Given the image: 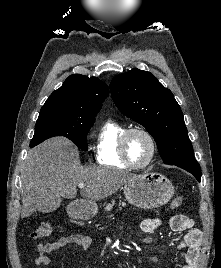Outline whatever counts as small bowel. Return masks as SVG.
<instances>
[{"instance_id": "1", "label": "small bowel", "mask_w": 221, "mask_h": 268, "mask_svg": "<svg viewBox=\"0 0 221 268\" xmlns=\"http://www.w3.org/2000/svg\"><path fill=\"white\" fill-rule=\"evenodd\" d=\"M161 225L157 218L145 219L141 223V229L145 233H151ZM170 227L173 231H187L183 240L177 245L180 251L185 253V265L182 268H196L200 256L202 243V232L194 228V222L186 215H175L170 220ZM92 244V238L87 235L71 234L60 237L46 244L37 246L38 256L35 263L38 266H47L50 263L49 254L64 249L68 245H75L87 250Z\"/></svg>"}]
</instances>
